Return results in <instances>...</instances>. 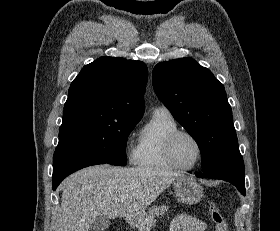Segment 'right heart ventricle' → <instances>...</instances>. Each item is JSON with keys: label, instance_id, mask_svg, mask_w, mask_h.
<instances>
[{"label": "right heart ventricle", "instance_id": "obj_1", "mask_svg": "<svg viewBox=\"0 0 280 231\" xmlns=\"http://www.w3.org/2000/svg\"><path fill=\"white\" fill-rule=\"evenodd\" d=\"M180 127L167 111L155 110L139 136L135 163L149 169L174 170L165 157L164 145L167 137Z\"/></svg>", "mask_w": 280, "mask_h": 231}]
</instances>
